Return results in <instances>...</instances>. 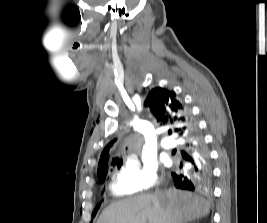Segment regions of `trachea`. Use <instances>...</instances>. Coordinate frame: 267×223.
<instances>
[{
    "mask_svg": "<svg viewBox=\"0 0 267 223\" xmlns=\"http://www.w3.org/2000/svg\"><path fill=\"white\" fill-rule=\"evenodd\" d=\"M168 133H169V134H172V131L170 130V131H168Z\"/></svg>",
    "mask_w": 267,
    "mask_h": 223,
    "instance_id": "1",
    "label": "trachea"
}]
</instances>
